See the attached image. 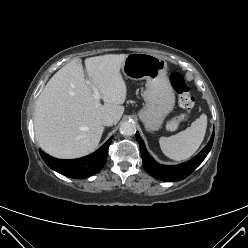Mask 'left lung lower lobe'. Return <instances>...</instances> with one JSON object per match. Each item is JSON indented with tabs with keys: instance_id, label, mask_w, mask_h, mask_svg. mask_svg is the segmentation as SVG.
Segmentation results:
<instances>
[{
	"instance_id": "left-lung-lower-lobe-1",
	"label": "left lung lower lobe",
	"mask_w": 248,
	"mask_h": 248,
	"mask_svg": "<svg viewBox=\"0 0 248 248\" xmlns=\"http://www.w3.org/2000/svg\"><path fill=\"white\" fill-rule=\"evenodd\" d=\"M136 139L140 145L143 166L151 176L162 181H180L189 176L203 162L212 147L214 132L208 144L199 154L179 165H162L157 163L147 152L138 132H136Z\"/></svg>"
}]
</instances>
